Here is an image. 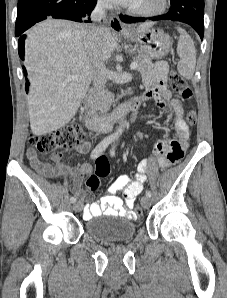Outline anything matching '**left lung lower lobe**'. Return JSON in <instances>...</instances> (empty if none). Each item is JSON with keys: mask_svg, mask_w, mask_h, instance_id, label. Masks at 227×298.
<instances>
[{"mask_svg": "<svg viewBox=\"0 0 227 298\" xmlns=\"http://www.w3.org/2000/svg\"><path fill=\"white\" fill-rule=\"evenodd\" d=\"M204 0H171V8L165 15L143 18L120 15L125 23L144 22L146 19L173 20L187 23L192 26L203 39L204 36Z\"/></svg>", "mask_w": 227, "mask_h": 298, "instance_id": "obj_1", "label": "left lung lower lobe"}]
</instances>
